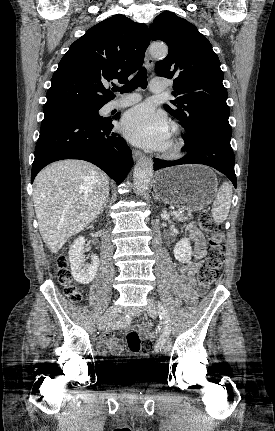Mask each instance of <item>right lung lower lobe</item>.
<instances>
[{"label":"right lung lower lobe","instance_id":"obj_1","mask_svg":"<svg viewBox=\"0 0 275 431\" xmlns=\"http://www.w3.org/2000/svg\"><path fill=\"white\" fill-rule=\"evenodd\" d=\"M119 115L98 121L69 113L45 115L35 149L31 183L43 167L62 159L89 161L117 184L123 182L133 159L125 140L111 132L112 120L118 119Z\"/></svg>","mask_w":275,"mask_h":431}]
</instances>
